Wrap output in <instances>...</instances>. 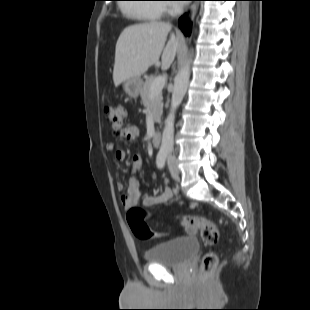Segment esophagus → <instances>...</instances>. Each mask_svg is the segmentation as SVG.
Masks as SVG:
<instances>
[{"label":"esophagus","mask_w":310,"mask_h":310,"mask_svg":"<svg viewBox=\"0 0 310 310\" xmlns=\"http://www.w3.org/2000/svg\"><path fill=\"white\" fill-rule=\"evenodd\" d=\"M197 9H198V5H197V4H194V5L191 7L190 13H189V17H190L191 20L195 17L196 12H197Z\"/></svg>","instance_id":"esophagus-1"}]
</instances>
